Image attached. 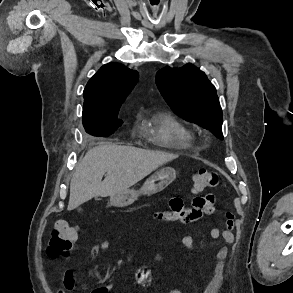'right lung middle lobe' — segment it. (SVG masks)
<instances>
[{
    "label": "right lung middle lobe",
    "instance_id": "1",
    "mask_svg": "<svg viewBox=\"0 0 293 293\" xmlns=\"http://www.w3.org/2000/svg\"><path fill=\"white\" fill-rule=\"evenodd\" d=\"M117 117L118 112L100 116H83V126L86 132L93 136L110 135L123 123Z\"/></svg>",
    "mask_w": 293,
    "mask_h": 293
}]
</instances>
